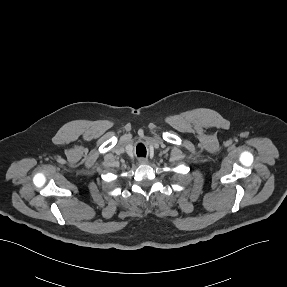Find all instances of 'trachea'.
Listing matches in <instances>:
<instances>
[{"mask_svg":"<svg viewBox=\"0 0 287 287\" xmlns=\"http://www.w3.org/2000/svg\"><path fill=\"white\" fill-rule=\"evenodd\" d=\"M137 156L146 157V148L144 145L139 144L136 148Z\"/></svg>","mask_w":287,"mask_h":287,"instance_id":"trachea-1","label":"trachea"}]
</instances>
